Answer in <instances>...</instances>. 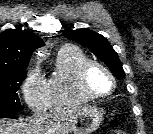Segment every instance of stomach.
<instances>
[{
  "label": "stomach",
  "mask_w": 153,
  "mask_h": 134,
  "mask_svg": "<svg viewBox=\"0 0 153 134\" xmlns=\"http://www.w3.org/2000/svg\"><path fill=\"white\" fill-rule=\"evenodd\" d=\"M104 111L96 106L80 109L71 124L73 134H91L103 121Z\"/></svg>",
  "instance_id": "0dacf381"
}]
</instances>
